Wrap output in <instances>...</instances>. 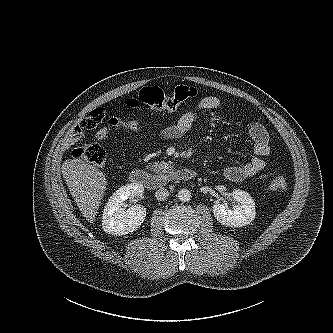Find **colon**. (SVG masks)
Here are the masks:
<instances>
[{"mask_svg": "<svg viewBox=\"0 0 333 333\" xmlns=\"http://www.w3.org/2000/svg\"><path fill=\"white\" fill-rule=\"evenodd\" d=\"M197 90L191 86L178 85L170 90L157 86L144 87L138 94V100L153 109L172 111L183 102L195 97ZM73 157L86 161L95 166H101L106 160L105 150L96 142L87 143L73 150ZM287 187V180L283 176L272 179L268 185L269 190H283Z\"/></svg>", "mask_w": 333, "mask_h": 333, "instance_id": "obj_1", "label": "colon"}]
</instances>
